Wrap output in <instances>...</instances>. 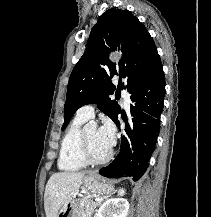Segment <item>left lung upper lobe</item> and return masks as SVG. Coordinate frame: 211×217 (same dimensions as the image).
Returning <instances> with one entry per match:
<instances>
[{
  "mask_svg": "<svg viewBox=\"0 0 211 217\" xmlns=\"http://www.w3.org/2000/svg\"><path fill=\"white\" fill-rule=\"evenodd\" d=\"M117 49L123 57L115 64L108 54ZM160 65L157 48L145 26L128 10H107L92 28L86 51L70 75L62 130L76 110L89 103H97L102 112L117 121L121 107L109 98L116 90L111 78L119 76L117 91L123 79L130 92Z\"/></svg>",
  "mask_w": 211,
  "mask_h": 217,
  "instance_id": "5c2ea615",
  "label": "left lung upper lobe"
}]
</instances>
